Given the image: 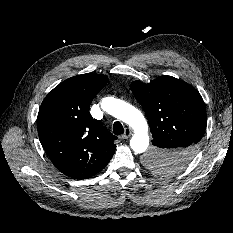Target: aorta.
Here are the masks:
<instances>
[{
    "instance_id": "1",
    "label": "aorta",
    "mask_w": 233,
    "mask_h": 233,
    "mask_svg": "<svg viewBox=\"0 0 233 233\" xmlns=\"http://www.w3.org/2000/svg\"><path fill=\"white\" fill-rule=\"evenodd\" d=\"M104 111L128 124L134 135L130 140V147L136 153H143L149 145L148 124L143 114L134 106L113 97L102 100Z\"/></svg>"
}]
</instances>
